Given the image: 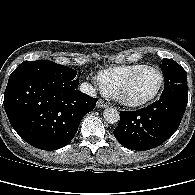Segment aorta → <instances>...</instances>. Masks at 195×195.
Returning a JSON list of instances; mask_svg holds the SVG:
<instances>
[{"mask_svg": "<svg viewBox=\"0 0 195 195\" xmlns=\"http://www.w3.org/2000/svg\"><path fill=\"white\" fill-rule=\"evenodd\" d=\"M103 117L109 124H116L120 120V114L117 109L109 107L103 112Z\"/></svg>", "mask_w": 195, "mask_h": 195, "instance_id": "obj_1", "label": "aorta"}]
</instances>
